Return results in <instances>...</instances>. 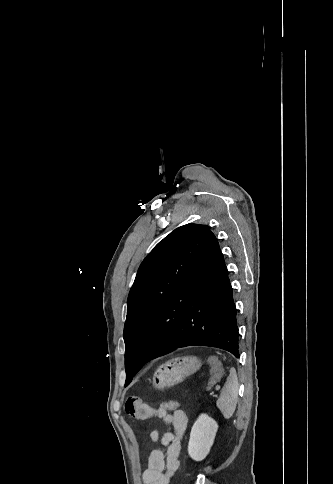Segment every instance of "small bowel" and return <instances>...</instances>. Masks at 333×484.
<instances>
[{
  "instance_id": "1",
  "label": "small bowel",
  "mask_w": 333,
  "mask_h": 484,
  "mask_svg": "<svg viewBox=\"0 0 333 484\" xmlns=\"http://www.w3.org/2000/svg\"><path fill=\"white\" fill-rule=\"evenodd\" d=\"M125 410L137 419H161L170 427V431L162 436H159L156 430L151 431L152 441L165 446L166 451L162 448L153 449L142 475L144 484H170L180 466L183 437L189 423L188 416L180 409L159 412L157 408L149 406L138 397H130L126 401Z\"/></svg>"
}]
</instances>
